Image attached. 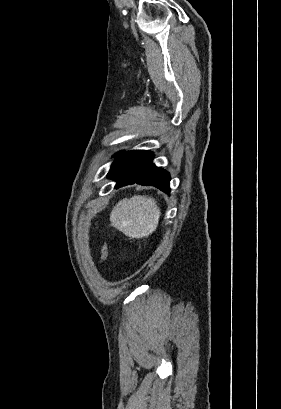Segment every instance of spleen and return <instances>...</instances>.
Instances as JSON below:
<instances>
[{
  "instance_id": "3e777b00",
  "label": "spleen",
  "mask_w": 281,
  "mask_h": 409,
  "mask_svg": "<svg viewBox=\"0 0 281 409\" xmlns=\"http://www.w3.org/2000/svg\"><path fill=\"white\" fill-rule=\"evenodd\" d=\"M157 200L151 196L134 194L132 198H122L110 213L112 227L131 239H145L156 231L160 219Z\"/></svg>"
}]
</instances>
